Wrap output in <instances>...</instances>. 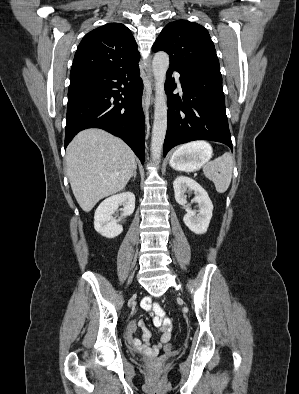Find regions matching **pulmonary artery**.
<instances>
[{"instance_id":"pulmonary-artery-1","label":"pulmonary artery","mask_w":299,"mask_h":394,"mask_svg":"<svg viewBox=\"0 0 299 394\" xmlns=\"http://www.w3.org/2000/svg\"><path fill=\"white\" fill-rule=\"evenodd\" d=\"M174 75H175V77H176V79L178 81V84H180V80H179L180 74L178 72H175Z\"/></svg>"}]
</instances>
